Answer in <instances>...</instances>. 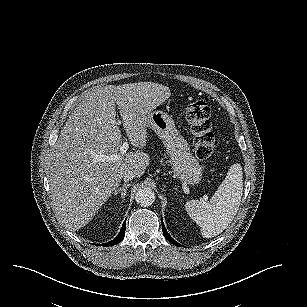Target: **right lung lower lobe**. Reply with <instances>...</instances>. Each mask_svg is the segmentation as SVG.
<instances>
[{
    "label": "right lung lower lobe",
    "instance_id": "1",
    "mask_svg": "<svg viewBox=\"0 0 307 307\" xmlns=\"http://www.w3.org/2000/svg\"><path fill=\"white\" fill-rule=\"evenodd\" d=\"M125 229H126V224L124 222L118 236L115 239H113L112 241H110L109 243H105V244H101V245L102 246H113V245L118 244L119 242H121L124 239Z\"/></svg>",
    "mask_w": 307,
    "mask_h": 307
}]
</instances>
